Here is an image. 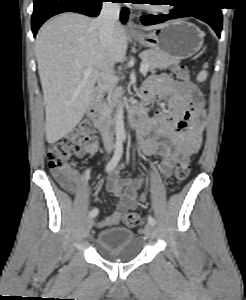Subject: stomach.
Segmentation results:
<instances>
[{
	"label": "stomach",
	"instance_id": "stomach-1",
	"mask_svg": "<svg viewBox=\"0 0 246 300\" xmlns=\"http://www.w3.org/2000/svg\"><path fill=\"white\" fill-rule=\"evenodd\" d=\"M134 38L143 47L161 52L175 61L193 56L204 42L203 32L184 20L169 21L150 33H139Z\"/></svg>",
	"mask_w": 246,
	"mask_h": 300
}]
</instances>
